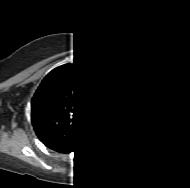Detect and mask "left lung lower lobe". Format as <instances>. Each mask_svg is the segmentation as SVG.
<instances>
[{
  "label": "left lung lower lobe",
  "mask_w": 190,
  "mask_h": 188,
  "mask_svg": "<svg viewBox=\"0 0 190 188\" xmlns=\"http://www.w3.org/2000/svg\"><path fill=\"white\" fill-rule=\"evenodd\" d=\"M121 131L124 140L132 147H140L144 141L153 135V130L149 128L137 127L130 124H125Z\"/></svg>",
  "instance_id": "left-lung-lower-lobe-1"
}]
</instances>
